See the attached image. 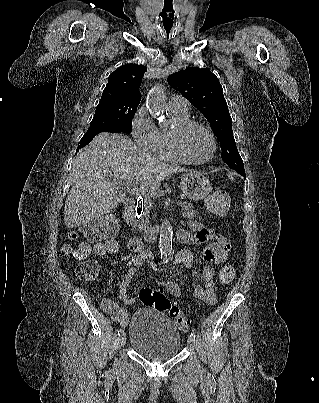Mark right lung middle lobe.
Listing matches in <instances>:
<instances>
[{"instance_id": "right-lung-middle-lobe-1", "label": "right lung middle lobe", "mask_w": 319, "mask_h": 403, "mask_svg": "<svg viewBox=\"0 0 319 403\" xmlns=\"http://www.w3.org/2000/svg\"><path fill=\"white\" fill-rule=\"evenodd\" d=\"M136 108L120 103L98 104L90 129L120 128L130 133Z\"/></svg>"}]
</instances>
